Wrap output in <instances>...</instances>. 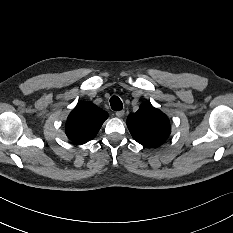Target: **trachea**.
Here are the masks:
<instances>
[{
    "label": "trachea",
    "mask_w": 233,
    "mask_h": 233,
    "mask_svg": "<svg viewBox=\"0 0 233 233\" xmlns=\"http://www.w3.org/2000/svg\"><path fill=\"white\" fill-rule=\"evenodd\" d=\"M111 108L115 111H119L123 108L122 101L117 96H112L110 99Z\"/></svg>",
    "instance_id": "3493384b"
}]
</instances>
